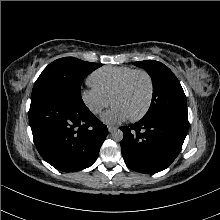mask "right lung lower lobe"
I'll return each instance as SVG.
<instances>
[{
    "label": "right lung lower lobe",
    "mask_w": 220,
    "mask_h": 220,
    "mask_svg": "<svg viewBox=\"0 0 220 220\" xmlns=\"http://www.w3.org/2000/svg\"><path fill=\"white\" fill-rule=\"evenodd\" d=\"M29 119L40 155L63 172L91 166L108 135L106 125L85 104L61 96L31 97Z\"/></svg>",
    "instance_id": "98d812e1"
}]
</instances>
